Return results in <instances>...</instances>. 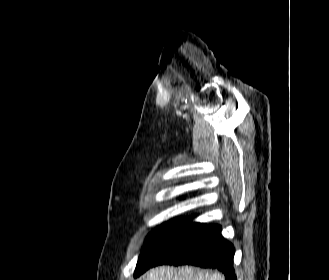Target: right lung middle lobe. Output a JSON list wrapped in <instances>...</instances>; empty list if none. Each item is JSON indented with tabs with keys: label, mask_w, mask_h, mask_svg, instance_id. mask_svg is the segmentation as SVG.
Masks as SVG:
<instances>
[{
	"label": "right lung middle lobe",
	"mask_w": 329,
	"mask_h": 280,
	"mask_svg": "<svg viewBox=\"0 0 329 280\" xmlns=\"http://www.w3.org/2000/svg\"><path fill=\"white\" fill-rule=\"evenodd\" d=\"M190 223L191 220L188 218L172 220L152 231L146 238L145 246L139 256L134 276L145 272Z\"/></svg>",
	"instance_id": "1"
}]
</instances>
